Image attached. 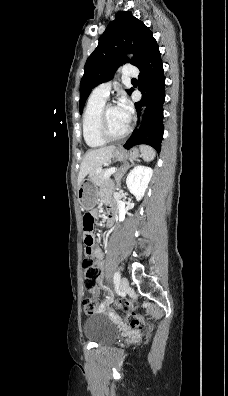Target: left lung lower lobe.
Instances as JSON below:
<instances>
[{
    "instance_id": "1",
    "label": "left lung lower lobe",
    "mask_w": 228,
    "mask_h": 396,
    "mask_svg": "<svg viewBox=\"0 0 228 396\" xmlns=\"http://www.w3.org/2000/svg\"><path fill=\"white\" fill-rule=\"evenodd\" d=\"M139 70V90L145 94L142 101L135 103V107L138 114L142 105H145L146 109L141 127L138 130L135 129L132 136L124 144V147L130 149L135 145L147 144L159 153L164 131L163 103L165 101V76L161 54L156 40L151 44Z\"/></svg>"
}]
</instances>
